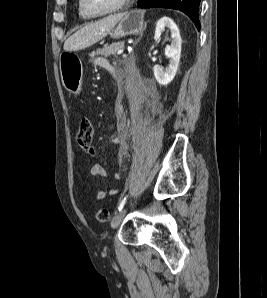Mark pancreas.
<instances>
[{"instance_id":"cf45deb5","label":"pancreas","mask_w":267,"mask_h":298,"mask_svg":"<svg viewBox=\"0 0 267 298\" xmlns=\"http://www.w3.org/2000/svg\"><path fill=\"white\" fill-rule=\"evenodd\" d=\"M122 47H124V42L123 41H118L115 43H112L110 45H106L101 49H98L96 52H92L90 54V56H94V55H101V56H105V57H110L113 56L117 53V51L119 49H121Z\"/></svg>"}]
</instances>
